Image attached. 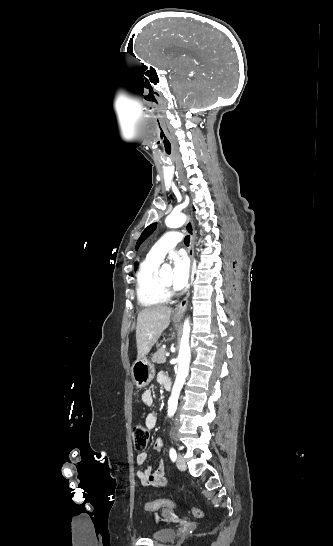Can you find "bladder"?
<instances>
[{
  "label": "bladder",
  "instance_id": "bladder-1",
  "mask_svg": "<svg viewBox=\"0 0 333 546\" xmlns=\"http://www.w3.org/2000/svg\"><path fill=\"white\" fill-rule=\"evenodd\" d=\"M176 536V531L172 527H164L156 530L152 533L151 537L160 542H167L174 539Z\"/></svg>",
  "mask_w": 333,
  "mask_h": 546
}]
</instances>
